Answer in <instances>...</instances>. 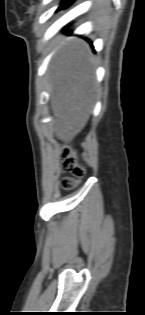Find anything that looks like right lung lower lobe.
Instances as JSON below:
<instances>
[{
  "mask_svg": "<svg viewBox=\"0 0 145 315\" xmlns=\"http://www.w3.org/2000/svg\"><path fill=\"white\" fill-rule=\"evenodd\" d=\"M72 2H73V0H69L68 2L65 3V5L63 7L69 6Z\"/></svg>",
  "mask_w": 145,
  "mask_h": 315,
  "instance_id": "1",
  "label": "right lung lower lobe"
}]
</instances>
